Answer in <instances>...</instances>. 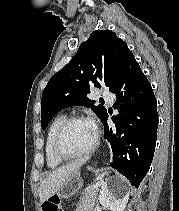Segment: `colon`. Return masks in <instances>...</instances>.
<instances>
[{"instance_id":"5ec220e1","label":"colon","mask_w":179,"mask_h":211,"mask_svg":"<svg viewBox=\"0 0 179 211\" xmlns=\"http://www.w3.org/2000/svg\"><path fill=\"white\" fill-rule=\"evenodd\" d=\"M42 211H62L60 198L54 195L46 199L42 203Z\"/></svg>"}]
</instances>
